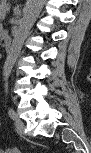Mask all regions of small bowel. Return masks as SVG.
<instances>
[{
  "mask_svg": "<svg viewBox=\"0 0 91 153\" xmlns=\"http://www.w3.org/2000/svg\"><path fill=\"white\" fill-rule=\"evenodd\" d=\"M5 153H18V149L16 148H10L4 151Z\"/></svg>",
  "mask_w": 91,
  "mask_h": 153,
  "instance_id": "c3829d8e",
  "label": "small bowel"
}]
</instances>
